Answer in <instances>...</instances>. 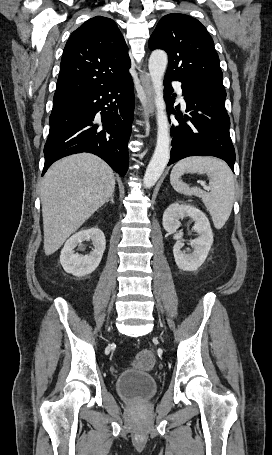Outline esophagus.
Masks as SVG:
<instances>
[{"label": "esophagus", "mask_w": 272, "mask_h": 455, "mask_svg": "<svg viewBox=\"0 0 272 455\" xmlns=\"http://www.w3.org/2000/svg\"><path fill=\"white\" fill-rule=\"evenodd\" d=\"M140 78H141V82H142L144 93H145L146 108L150 114H153V112H154V104H153L154 94H153V88L151 85L150 76L145 70H142Z\"/></svg>", "instance_id": "esophagus-1"}]
</instances>
